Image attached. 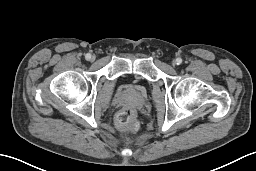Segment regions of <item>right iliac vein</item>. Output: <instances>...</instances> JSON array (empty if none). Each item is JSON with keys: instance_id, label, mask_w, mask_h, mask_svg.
<instances>
[{"instance_id": "1", "label": "right iliac vein", "mask_w": 256, "mask_h": 171, "mask_svg": "<svg viewBox=\"0 0 256 171\" xmlns=\"http://www.w3.org/2000/svg\"><path fill=\"white\" fill-rule=\"evenodd\" d=\"M90 60H91V61H94V60H95V56H92V57L90 58Z\"/></svg>"}]
</instances>
